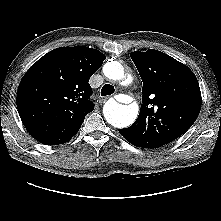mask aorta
I'll use <instances>...</instances> for the list:
<instances>
[{"label": "aorta", "mask_w": 221, "mask_h": 221, "mask_svg": "<svg viewBox=\"0 0 221 221\" xmlns=\"http://www.w3.org/2000/svg\"><path fill=\"white\" fill-rule=\"evenodd\" d=\"M103 73L108 79L122 80L124 76V67L117 61L105 63ZM103 114L106 121L114 127L125 128L130 126L138 115V106L136 104L122 105L114 99L108 100L103 107Z\"/></svg>", "instance_id": "762f6f07"}]
</instances>
